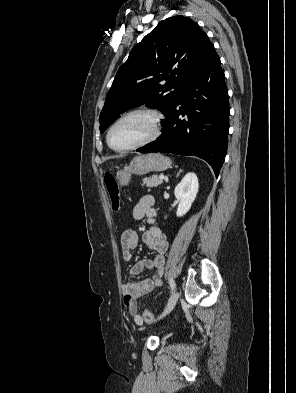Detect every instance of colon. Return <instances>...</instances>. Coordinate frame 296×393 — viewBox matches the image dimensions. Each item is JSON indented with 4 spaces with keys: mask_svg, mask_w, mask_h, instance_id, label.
I'll use <instances>...</instances> for the list:
<instances>
[{
    "mask_svg": "<svg viewBox=\"0 0 296 393\" xmlns=\"http://www.w3.org/2000/svg\"><path fill=\"white\" fill-rule=\"evenodd\" d=\"M103 183L109 194L112 210L117 212L120 208V195L116 179L112 174L107 173L104 175ZM143 319L147 323H152L154 321V316L150 310L145 309L143 311Z\"/></svg>",
    "mask_w": 296,
    "mask_h": 393,
    "instance_id": "5ec220e1",
    "label": "colon"
}]
</instances>
